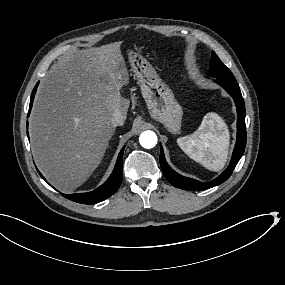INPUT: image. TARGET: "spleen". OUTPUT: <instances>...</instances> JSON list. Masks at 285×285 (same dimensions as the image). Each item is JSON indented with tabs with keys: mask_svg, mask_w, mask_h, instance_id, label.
I'll return each mask as SVG.
<instances>
[{
	"mask_svg": "<svg viewBox=\"0 0 285 285\" xmlns=\"http://www.w3.org/2000/svg\"><path fill=\"white\" fill-rule=\"evenodd\" d=\"M180 149L207 170H220L227 157L228 134L225 124L213 113L201 119L200 126L190 135L177 139Z\"/></svg>",
	"mask_w": 285,
	"mask_h": 285,
	"instance_id": "spleen-1",
	"label": "spleen"
}]
</instances>
